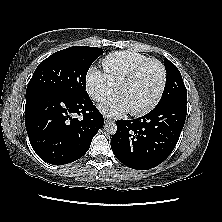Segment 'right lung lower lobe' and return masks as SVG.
<instances>
[{"label": "right lung lower lobe", "instance_id": "right-lung-lower-lobe-1", "mask_svg": "<svg viewBox=\"0 0 222 222\" xmlns=\"http://www.w3.org/2000/svg\"><path fill=\"white\" fill-rule=\"evenodd\" d=\"M25 125L36 154L49 164L63 165L87 152L104 120L88 94L42 91L26 98Z\"/></svg>", "mask_w": 222, "mask_h": 222}]
</instances>
